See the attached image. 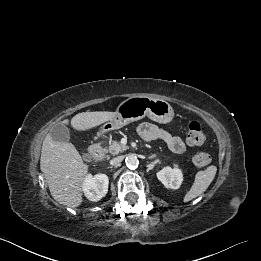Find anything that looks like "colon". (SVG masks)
Returning a JSON list of instances; mask_svg holds the SVG:
<instances>
[{"label":"colon","instance_id":"obj_1","mask_svg":"<svg viewBox=\"0 0 261 261\" xmlns=\"http://www.w3.org/2000/svg\"><path fill=\"white\" fill-rule=\"evenodd\" d=\"M205 134L198 121H192L187 130V141L190 145L199 146L205 142ZM210 162L209 154L198 152L193 156V163L198 167H203Z\"/></svg>","mask_w":261,"mask_h":261}]
</instances>
